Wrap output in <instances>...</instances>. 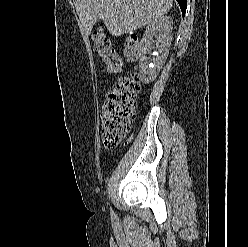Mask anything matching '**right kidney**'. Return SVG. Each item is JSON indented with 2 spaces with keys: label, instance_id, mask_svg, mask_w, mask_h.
I'll list each match as a JSON object with an SVG mask.
<instances>
[{
  "label": "right kidney",
  "instance_id": "right-kidney-1",
  "mask_svg": "<svg viewBox=\"0 0 248 247\" xmlns=\"http://www.w3.org/2000/svg\"><path fill=\"white\" fill-rule=\"evenodd\" d=\"M172 24L170 16H162L150 23L138 45L140 80L150 83L157 77L166 61L172 41ZM150 49L156 50L155 57H147Z\"/></svg>",
  "mask_w": 248,
  "mask_h": 247
}]
</instances>
